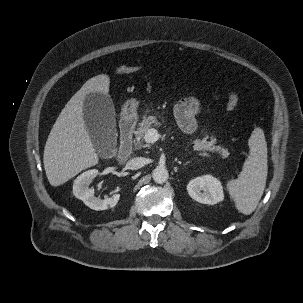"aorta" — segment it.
I'll return each mask as SVG.
<instances>
[{
    "label": "aorta",
    "mask_w": 303,
    "mask_h": 303,
    "mask_svg": "<svg viewBox=\"0 0 303 303\" xmlns=\"http://www.w3.org/2000/svg\"><path fill=\"white\" fill-rule=\"evenodd\" d=\"M153 180L158 184H163L168 180L169 174L165 167H156L152 173Z\"/></svg>",
    "instance_id": "762f6f07"
}]
</instances>
